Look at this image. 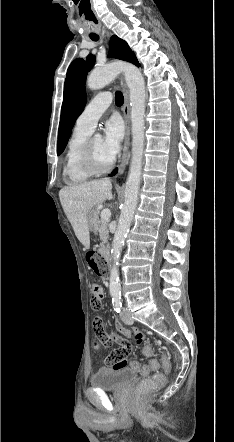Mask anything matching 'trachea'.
Segmentation results:
<instances>
[{"instance_id":"3493384b","label":"trachea","mask_w":234,"mask_h":442,"mask_svg":"<svg viewBox=\"0 0 234 442\" xmlns=\"http://www.w3.org/2000/svg\"><path fill=\"white\" fill-rule=\"evenodd\" d=\"M91 39L94 41H97L99 39V37L95 36V37H92ZM115 102L118 106H121L124 102L123 95L120 91H116V93H115Z\"/></svg>"}]
</instances>
